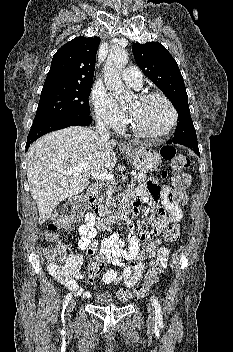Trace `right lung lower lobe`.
Here are the masks:
<instances>
[{
    "label": "right lung lower lobe",
    "instance_id": "1",
    "mask_svg": "<svg viewBox=\"0 0 233 352\" xmlns=\"http://www.w3.org/2000/svg\"><path fill=\"white\" fill-rule=\"evenodd\" d=\"M92 122L91 116H65L47 119L32 124L31 130L27 137L26 151L31 143L46 133L66 128L73 125L87 126Z\"/></svg>",
    "mask_w": 233,
    "mask_h": 352
}]
</instances>
